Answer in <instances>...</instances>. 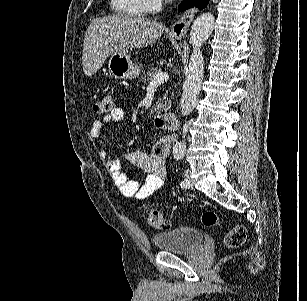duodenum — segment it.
I'll return each mask as SVG.
<instances>
[{"label":"duodenum","mask_w":307,"mask_h":301,"mask_svg":"<svg viewBox=\"0 0 307 301\" xmlns=\"http://www.w3.org/2000/svg\"><path fill=\"white\" fill-rule=\"evenodd\" d=\"M178 120L173 113H164L156 117L155 125L161 129L174 130L176 129Z\"/></svg>","instance_id":"obj_1"}]
</instances>
